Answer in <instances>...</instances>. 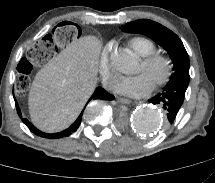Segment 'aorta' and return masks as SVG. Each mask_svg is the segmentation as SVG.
Wrapping results in <instances>:
<instances>
[{"instance_id": "obj_1", "label": "aorta", "mask_w": 215, "mask_h": 183, "mask_svg": "<svg viewBox=\"0 0 215 183\" xmlns=\"http://www.w3.org/2000/svg\"><path fill=\"white\" fill-rule=\"evenodd\" d=\"M111 60L113 67L122 73H128L134 64L133 56L123 49L113 54ZM131 122L137 132L153 134L162 127L163 114L152 106L140 107L132 115Z\"/></svg>"}]
</instances>
